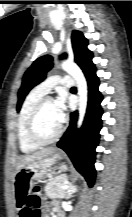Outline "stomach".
I'll return each mask as SVG.
<instances>
[{
    "label": "stomach",
    "instance_id": "0dacf381",
    "mask_svg": "<svg viewBox=\"0 0 132 217\" xmlns=\"http://www.w3.org/2000/svg\"><path fill=\"white\" fill-rule=\"evenodd\" d=\"M68 170V158L61 152L32 162L21 168L14 176V185L17 189L32 187L35 180L45 179Z\"/></svg>",
    "mask_w": 132,
    "mask_h": 217
}]
</instances>
